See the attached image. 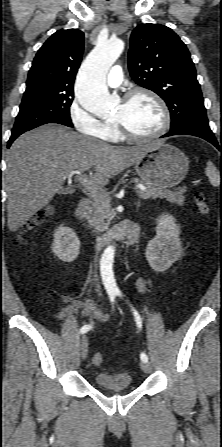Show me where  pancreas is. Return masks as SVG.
Instances as JSON below:
<instances>
[{"label": "pancreas", "mask_w": 222, "mask_h": 447, "mask_svg": "<svg viewBox=\"0 0 222 447\" xmlns=\"http://www.w3.org/2000/svg\"><path fill=\"white\" fill-rule=\"evenodd\" d=\"M134 180L146 187L145 191L137 192L140 198H165L171 203L179 205L184 204V193L186 188L173 191L164 189L159 185L145 183L138 179ZM111 215L110 197L100 195L92 196V206L90 207L87 215L88 223L91 226H94L97 231H104L108 228L110 221L112 220Z\"/></svg>", "instance_id": "cf45deb5"}]
</instances>
